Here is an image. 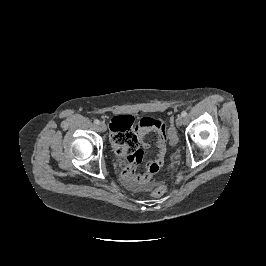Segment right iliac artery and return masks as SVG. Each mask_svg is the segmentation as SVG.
<instances>
[{"label":"right iliac artery","instance_id":"right-iliac-artery-1","mask_svg":"<svg viewBox=\"0 0 266 266\" xmlns=\"http://www.w3.org/2000/svg\"><path fill=\"white\" fill-rule=\"evenodd\" d=\"M94 123L98 125L100 123V121L98 119H95Z\"/></svg>","mask_w":266,"mask_h":266}]
</instances>
